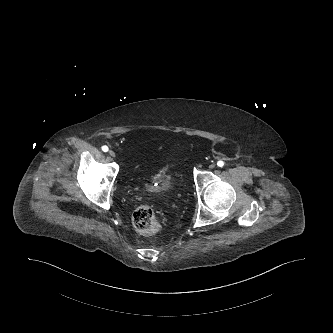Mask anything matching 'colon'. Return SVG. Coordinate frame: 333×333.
Segmentation results:
<instances>
[{"label": "colon", "instance_id": "5ec220e1", "mask_svg": "<svg viewBox=\"0 0 333 333\" xmlns=\"http://www.w3.org/2000/svg\"><path fill=\"white\" fill-rule=\"evenodd\" d=\"M134 228L144 235H154L161 229V223L154 211L147 206L137 208L132 215Z\"/></svg>", "mask_w": 333, "mask_h": 333}]
</instances>
